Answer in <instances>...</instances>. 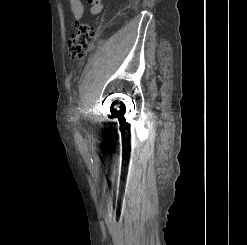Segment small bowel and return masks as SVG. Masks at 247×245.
<instances>
[{
  "instance_id": "1",
  "label": "small bowel",
  "mask_w": 247,
  "mask_h": 245,
  "mask_svg": "<svg viewBox=\"0 0 247 245\" xmlns=\"http://www.w3.org/2000/svg\"><path fill=\"white\" fill-rule=\"evenodd\" d=\"M90 4V13L92 15H98L103 9L102 0H86ZM71 12L75 21L82 20L84 16V2L83 0H69Z\"/></svg>"
}]
</instances>
